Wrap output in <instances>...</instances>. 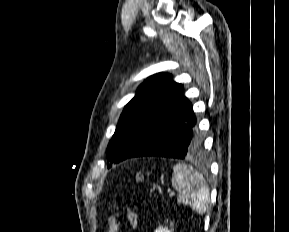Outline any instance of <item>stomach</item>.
<instances>
[{
  "label": "stomach",
  "instance_id": "1",
  "mask_svg": "<svg viewBox=\"0 0 289 232\" xmlns=\"http://www.w3.org/2000/svg\"><path fill=\"white\" fill-rule=\"evenodd\" d=\"M136 178H137V181H142L143 180V176H140V174H137Z\"/></svg>",
  "mask_w": 289,
  "mask_h": 232
}]
</instances>
